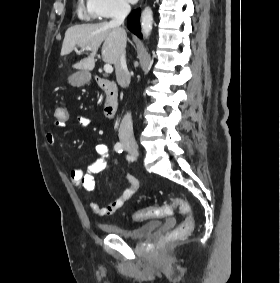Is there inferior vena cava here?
<instances>
[{
  "instance_id": "602c4592",
  "label": "inferior vena cava",
  "mask_w": 280,
  "mask_h": 283,
  "mask_svg": "<svg viewBox=\"0 0 280 283\" xmlns=\"http://www.w3.org/2000/svg\"><path fill=\"white\" fill-rule=\"evenodd\" d=\"M131 7L126 2H120L114 13L110 25L113 27H120L127 15L130 13ZM125 49L120 52L119 60L115 66L116 79L118 84L126 88L130 84V74L126 64ZM119 139L124 146H135V138L133 134V124L131 113L124 115L119 127Z\"/></svg>"
}]
</instances>
